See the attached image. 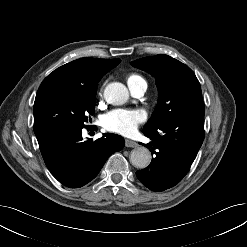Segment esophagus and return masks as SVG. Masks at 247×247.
Instances as JSON below:
<instances>
[{"label": "esophagus", "mask_w": 247, "mask_h": 247, "mask_svg": "<svg viewBox=\"0 0 247 247\" xmlns=\"http://www.w3.org/2000/svg\"><path fill=\"white\" fill-rule=\"evenodd\" d=\"M125 145L126 147H131V148L138 147V143L130 139H125Z\"/></svg>", "instance_id": "esophagus-1"}]
</instances>
